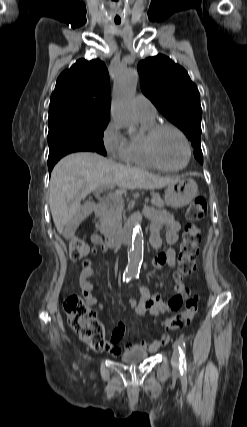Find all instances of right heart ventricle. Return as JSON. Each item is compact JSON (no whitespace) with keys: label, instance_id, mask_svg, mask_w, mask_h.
<instances>
[{"label":"right heart ventricle","instance_id":"1","mask_svg":"<svg viewBox=\"0 0 247 427\" xmlns=\"http://www.w3.org/2000/svg\"><path fill=\"white\" fill-rule=\"evenodd\" d=\"M142 133L138 136H132L127 140L126 158L125 161L130 164L156 168L146 154L144 147L145 133L156 124L155 119H141Z\"/></svg>","mask_w":247,"mask_h":427}]
</instances>
